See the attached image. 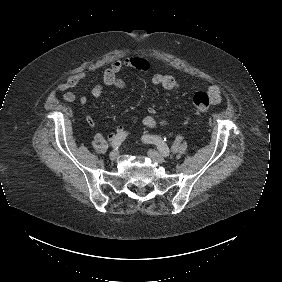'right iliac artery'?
I'll list each match as a JSON object with an SVG mask.
<instances>
[{"label": "right iliac artery", "mask_w": 282, "mask_h": 282, "mask_svg": "<svg viewBox=\"0 0 282 282\" xmlns=\"http://www.w3.org/2000/svg\"><path fill=\"white\" fill-rule=\"evenodd\" d=\"M127 132H122L120 134L115 135L112 140H111V145L113 148L118 149L119 146L122 144V142L125 140L127 137Z\"/></svg>", "instance_id": "right-iliac-artery-1"}]
</instances>
